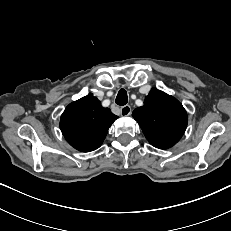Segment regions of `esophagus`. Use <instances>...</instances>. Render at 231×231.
<instances>
[{
    "label": "esophagus",
    "instance_id": "esophagus-1",
    "mask_svg": "<svg viewBox=\"0 0 231 231\" xmlns=\"http://www.w3.org/2000/svg\"><path fill=\"white\" fill-rule=\"evenodd\" d=\"M121 116H129L131 114V107L130 105H124L120 108Z\"/></svg>",
    "mask_w": 231,
    "mask_h": 231
}]
</instances>
